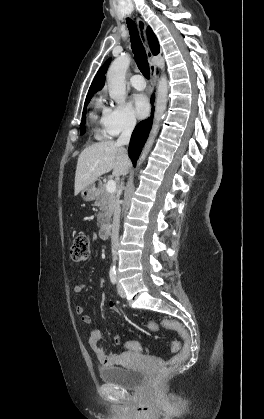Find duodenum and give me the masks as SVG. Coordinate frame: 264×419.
Segmentation results:
<instances>
[{
    "label": "duodenum",
    "instance_id": "410a0bca",
    "mask_svg": "<svg viewBox=\"0 0 264 419\" xmlns=\"http://www.w3.org/2000/svg\"><path fill=\"white\" fill-rule=\"evenodd\" d=\"M112 226L109 223L103 224L100 229V236L103 239H108L111 235Z\"/></svg>",
    "mask_w": 264,
    "mask_h": 419
}]
</instances>
